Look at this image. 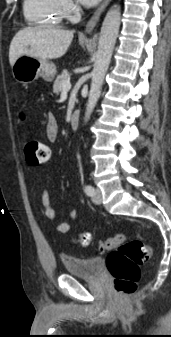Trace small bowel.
<instances>
[{
	"mask_svg": "<svg viewBox=\"0 0 171 337\" xmlns=\"http://www.w3.org/2000/svg\"><path fill=\"white\" fill-rule=\"evenodd\" d=\"M45 133L49 141H56L59 135V127L56 118L53 114H48L45 121ZM41 201L44 207L45 216L51 220L55 221L56 211L51 206L50 193L47 188H44L41 193ZM77 218V211L72 210L69 214V221L60 222L56 225V229L60 233H67L70 231L73 222Z\"/></svg>",
	"mask_w": 171,
	"mask_h": 337,
	"instance_id": "small-bowel-1",
	"label": "small bowel"
}]
</instances>
